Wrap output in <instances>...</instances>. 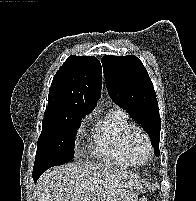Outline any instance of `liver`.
Masks as SVG:
<instances>
[{
  "label": "liver",
  "mask_w": 196,
  "mask_h": 201,
  "mask_svg": "<svg viewBox=\"0 0 196 201\" xmlns=\"http://www.w3.org/2000/svg\"><path fill=\"white\" fill-rule=\"evenodd\" d=\"M132 174L111 164H66L48 169L37 181V201H122L139 188Z\"/></svg>",
  "instance_id": "6515ba94"
}]
</instances>
